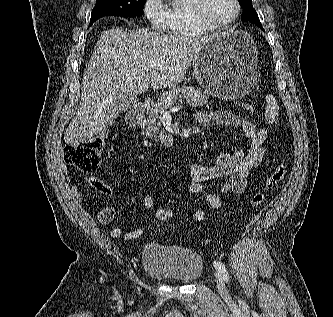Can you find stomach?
<instances>
[{
	"instance_id": "obj_1",
	"label": "stomach",
	"mask_w": 333,
	"mask_h": 317,
	"mask_svg": "<svg viewBox=\"0 0 333 317\" xmlns=\"http://www.w3.org/2000/svg\"><path fill=\"white\" fill-rule=\"evenodd\" d=\"M193 68L205 92L237 100L252 95L259 75L258 50L248 33L230 30L207 40L193 61Z\"/></svg>"
}]
</instances>
